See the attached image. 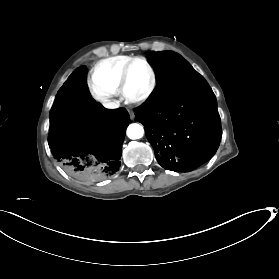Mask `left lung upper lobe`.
<instances>
[{"label":"left lung upper lobe","mask_w":279,"mask_h":279,"mask_svg":"<svg viewBox=\"0 0 279 279\" xmlns=\"http://www.w3.org/2000/svg\"><path fill=\"white\" fill-rule=\"evenodd\" d=\"M148 60L156 71V87L144 103L148 106L170 99L201 77L183 57L172 51L149 52Z\"/></svg>","instance_id":"left-lung-upper-lobe-1"}]
</instances>
